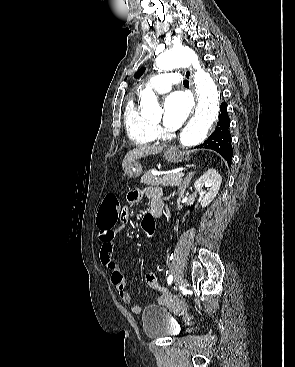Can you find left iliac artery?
I'll return each mask as SVG.
<instances>
[{"label":"left iliac artery","instance_id":"1","mask_svg":"<svg viewBox=\"0 0 295 367\" xmlns=\"http://www.w3.org/2000/svg\"><path fill=\"white\" fill-rule=\"evenodd\" d=\"M172 281H173V276L169 275L168 278H167L168 284L171 285Z\"/></svg>","mask_w":295,"mask_h":367}]
</instances>
